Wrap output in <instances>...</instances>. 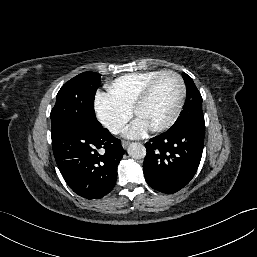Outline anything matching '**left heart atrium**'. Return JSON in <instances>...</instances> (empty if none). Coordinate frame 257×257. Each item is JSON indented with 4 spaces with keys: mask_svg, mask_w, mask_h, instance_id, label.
Returning <instances> with one entry per match:
<instances>
[{
    "mask_svg": "<svg viewBox=\"0 0 257 257\" xmlns=\"http://www.w3.org/2000/svg\"><path fill=\"white\" fill-rule=\"evenodd\" d=\"M149 130L148 125L142 119L136 118L124 134L127 138L138 139L145 136Z\"/></svg>",
    "mask_w": 257,
    "mask_h": 257,
    "instance_id": "39dd6f15",
    "label": "left heart atrium"
}]
</instances>
